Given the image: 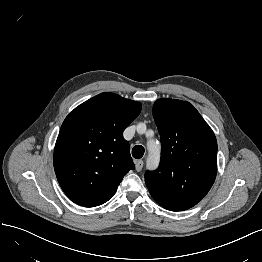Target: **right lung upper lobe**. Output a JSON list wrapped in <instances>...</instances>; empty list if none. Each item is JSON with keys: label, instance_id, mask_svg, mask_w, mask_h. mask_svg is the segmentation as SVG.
Wrapping results in <instances>:
<instances>
[{"label": "right lung upper lobe", "instance_id": "1", "mask_svg": "<svg viewBox=\"0 0 262 262\" xmlns=\"http://www.w3.org/2000/svg\"><path fill=\"white\" fill-rule=\"evenodd\" d=\"M139 102L101 93L64 120L54 149V169L65 194L76 204L107 202L135 165L123 131L139 115Z\"/></svg>", "mask_w": 262, "mask_h": 262}]
</instances>
